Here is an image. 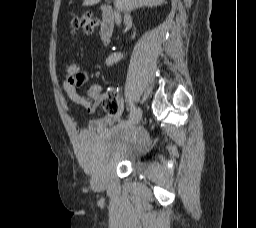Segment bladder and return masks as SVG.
Here are the masks:
<instances>
[{
	"label": "bladder",
	"instance_id": "31cf9c89",
	"mask_svg": "<svg viewBox=\"0 0 256 228\" xmlns=\"http://www.w3.org/2000/svg\"><path fill=\"white\" fill-rule=\"evenodd\" d=\"M147 143L139 131L117 126L100 136L81 134L78 151L94 177L119 162L134 159Z\"/></svg>",
	"mask_w": 256,
	"mask_h": 228
}]
</instances>
